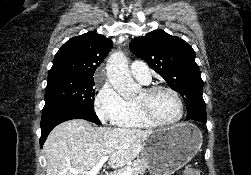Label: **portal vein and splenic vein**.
Listing matches in <instances>:
<instances>
[{"instance_id":"obj_1","label":"portal vein and splenic vein","mask_w":251,"mask_h":175,"mask_svg":"<svg viewBox=\"0 0 251 175\" xmlns=\"http://www.w3.org/2000/svg\"><path fill=\"white\" fill-rule=\"evenodd\" d=\"M110 155H104V157H101L99 163L95 165V167H92V169H89V171H84V169H70L72 173H85V175H97L99 173V169H101L102 165H104L105 161L109 159ZM132 169L128 167V169H125V171H121V173H113V175H131Z\"/></svg>"}]
</instances>
